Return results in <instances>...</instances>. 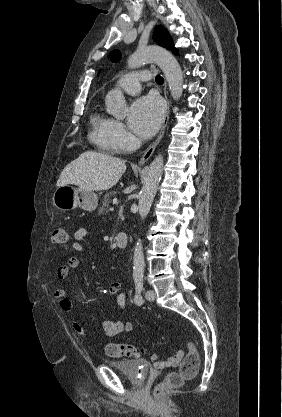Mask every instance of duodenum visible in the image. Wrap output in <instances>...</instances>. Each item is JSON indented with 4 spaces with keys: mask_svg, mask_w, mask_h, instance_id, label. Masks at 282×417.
I'll use <instances>...</instances> for the list:
<instances>
[{
    "mask_svg": "<svg viewBox=\"0 0 282 417\" xmlns=\"http://www.w3.org/2000/svg\"><path fill=\"white\" fill-rule=\"evenodd\" d=\"M127 242H128V235L123 232H119L114 238L115 245L121 249H124L127 247Z\"/></svg>",
    "mask_w": 282,
    "mask_h": 417,
    "instance_id": "410a0bca",
    "label": "duodenum"
}]
</instances>
